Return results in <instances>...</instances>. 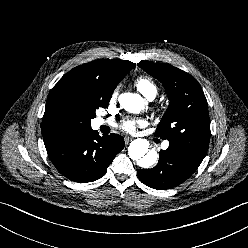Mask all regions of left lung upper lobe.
<instances>
[{"label": "left lung upper lobe", "instance_id": "1", "mask_svg": "<svg viewBox=\"0 0 248 248\" xmlns=\"http://www.w3.org/2000/svg\"><path fill=\"white\" fill-rule=\"evenodd\" d=\"M138 66L164 85L170 100L155 135L203 159L210 140V120L208 103L198 82L170 64L140 61Z\"/></svg>", "mask_w": 248, "mask_h": 248}]
</instances>
